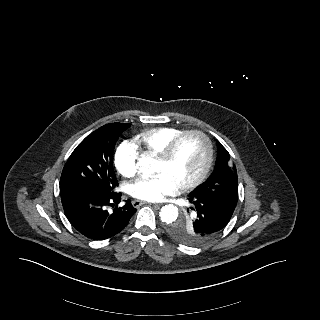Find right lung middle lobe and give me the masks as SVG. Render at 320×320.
Returning a JSON list of instances; mask_svg holds the SVG:
<instances>
[{"label": "right lung middle lobe", "instance_id": "obj_1", "mask_svg": "<svg viewBox=\"0 0 320 320\" xmlns=\"http://www.w3.org/2000/svg\"><path fill=\"white\" fill-rule=\"evenodd\" d=\"M130 124H106L87 136L67 160L60 179L61 194H109L118 186L113 152Z\"/></svg>", "mask_w": 320, "mask_h": 320}]
</instances>
